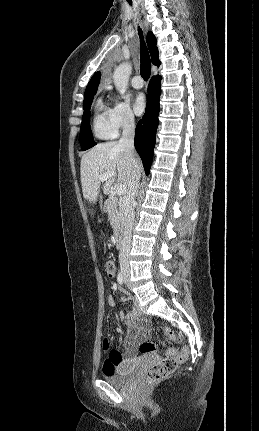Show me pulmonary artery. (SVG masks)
<instances>
[{"instance_id":"obj_1","label":"pulmonary artery","mask_w":259,"mask_h":431,"mask_svg":"<svg viewBox=\"0 0 259 431\" xmlns=\"http://www.w3.org/2000/svg\"><path fill=\"white\" fill-rule=\"evenodd\" d=\"M131 85L136 89H141L144 85L143 79L141 76L136 75L131 80Z\"/></svg>"}]
</instances>
